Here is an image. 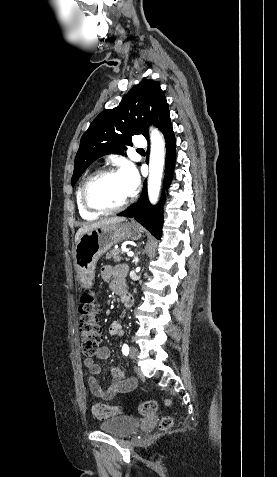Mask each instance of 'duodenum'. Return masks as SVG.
Instances as JSON below:
<instances>
[{"mask_svg":"<svg viewBox=\"0 0 277 477\" xmlns=\"http://www.w3.org/2000/svg\"><path fill=\"white\" fill-rule=\"evenodd\" d=\"M120 299H121V302L122 304L126 307V308H130L133 304V299L132 297L126 293V292H123L120 294Z\"/></svg>","mask_w":277,"mask_h":477,"instance_id":"410a0bca","label":"duodenum"}]
</instances>
